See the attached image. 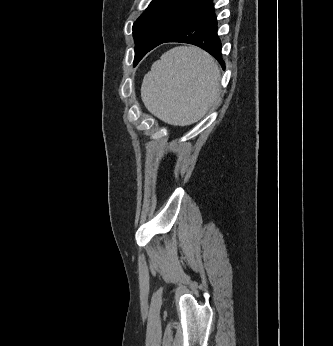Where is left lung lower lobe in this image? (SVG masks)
Returning a JSON list of instances; mask_svg holds the SVG:
<instances>
[{"label": "left lung lower lobe", "instance_id": "0a47b994", "mask_svg": "<svg viewBox=\"0 0 333 346\" xmlns=\"http://www.w3.org/2000/svg\"><path fill=\"white\" fill-rule=\"evenodd\" d=\"M165 42H182L201 47L216 58L222 68L225 69L221 54V41L217 35V19L213 0L198 10L168 37L153 44L148 52Z\"/></svg>", "mask_w": 333, "mask_h": 346}]
</instances>
